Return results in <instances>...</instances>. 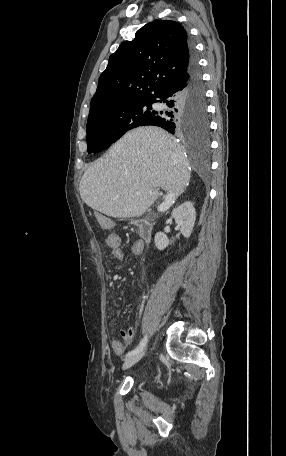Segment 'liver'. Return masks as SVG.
Wrapping results in <instances>:
<instances>
[{
  "mask_svg": "<svg viewBox=\"0 0 286 456\" xmlns=\"http://www.w3.org/2000/svg\"><path fill=\"white\" fill-rule=\"evenodd\" d=\"M185 149L159 127L126 133L94 162L80 181V196L114 218L138 217L158 198V187L180 195L190 180Z\"/></svg>",
  "mask_w": 286,
  "mask_h": 456,
  "instance_id": "6515ba94",
  "label": "liver"
}]
</instances>
